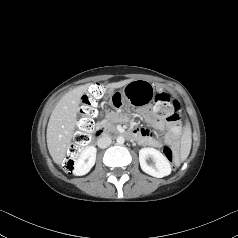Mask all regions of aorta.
<instances>
[{
	"label": "aorta",
	"instance_id": "obj_1",
	"mask_svg": "<svg viewBox=\"0 0 238 238\" xmlns=\"http://www.w3.org/2000/svg\"><path fill=\"white\" fill-rule=\"evenodd\" d=\"M116 142L117 144L122 145L125 142V139L122 136H118Z\"/></svg>",
	"mask_w": 238,
	"mask_h": 238
}]
</instances>
